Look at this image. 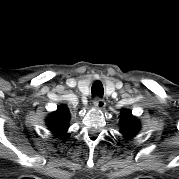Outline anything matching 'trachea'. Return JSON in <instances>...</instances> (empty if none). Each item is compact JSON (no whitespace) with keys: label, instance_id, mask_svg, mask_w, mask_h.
<instances>
[{"label":"trachea","instance_id":"1","mask_svg":"<svg viewBox=\"0 0 179 179\" xmlns=\"http://www.w3.org/2000/svg\"><path fill=\"white\" fill-rule=\"evenodd\" d=\"M91 93L92 95L94 96H98L100 98L103 97V94H104V88H103V85L102 83L99 81V80H96L92 87H91Z\"/></svg>","mask_w":179,"mask_h":179}]
</instances>
